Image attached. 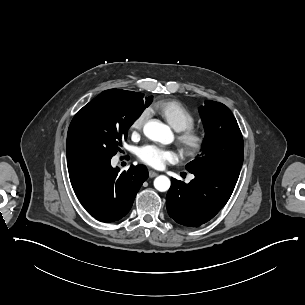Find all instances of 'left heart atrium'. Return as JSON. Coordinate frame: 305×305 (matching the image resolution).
Listing matches in <instances>:
<instances>
[{
  "label": "left heart atrium",
  "mask_w": 305,
  "mask_h": 305,
  "mask_svg": "<svg viewBox=\"0 0 305 305\" xmlns=\"http://www.w3.org/2000/svg\"><path fill=\"white\" fill-rule=\"evenodd\" d=\"M137 156L143 163L158 168L166 162H175L178 159L176 151L172 148L156 144H145L137 149Z\"/></svg>",
  "instance_id": "1"
}]
</instances>
